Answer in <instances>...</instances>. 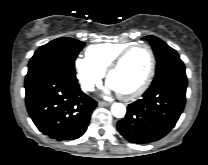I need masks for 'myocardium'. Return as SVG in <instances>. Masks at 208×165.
Returning a JSON list of instances; mask_svg holds the SVG:
<instances>
[{"instance_id": "myocardium-1", "label": "myocardium", "mask_w": 208, "mask_h": 165, "mask_svg": "<svg viewBox=\"0 0 208 165\" xmlns=\"http://www.w3.org/2000/svg\"><path fill=\"white\" fill-rule=\"evenodd\" d=\"M137 47H144L148 50L150 56V66L144 81L139 87L128 93H120V96L127 100L134 99L140 96L141 94H143L148 89V87L152 82L155 73V67H156V58L152 47L149 44L143 42L133 43L127 46L126 48H124L123 50H121L116 55V57L112 60V62L109 64L106 70V79L109 82L110 75L112 74V72L116 70L121 65L123 60L127 57V55Z\"/></svg>"}]
</instances>
